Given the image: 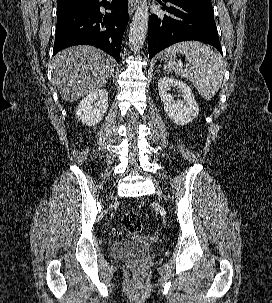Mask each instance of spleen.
<instances>
[{
    "instance_id": "1",
    "label": "spleen",
    "mask_w": 272,
    "mask_h": 303,
    "mask_svg": "<svg viewBox=\"0 0 272 303\" xmlns=\"http://www.w3.org/2000/svg\"><path fill=\"white\" fill-rule=\"evenodd\" d=\"M176 52L185 55L191 67L183 68L180 63H176L172 59ZM164 54L169 56V59L164 61V70L173 71L188 79L202 98L211 100L219 91L224 76V63L209 46L199 41H185L168 47Z\"/></svg>"
}]
</instances>
